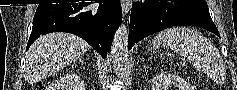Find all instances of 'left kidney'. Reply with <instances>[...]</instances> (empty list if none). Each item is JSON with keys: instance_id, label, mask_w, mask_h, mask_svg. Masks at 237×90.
I'll return each mask as SVG.
<instances>
[{"instance_id": "5707ae66", "label": "left kidney", "mask_w": 237, "mask_h": 90, "mask_svg": "<svg viewBox=\"0 0 237 90\" xmlns=\"http://www.w3.org/2000/svg\"><path fill=\"white\" fill-rule=\"evenodd\" d=\"M152 90H193V86L179 76L168 74V72H159L152 80Z\"/></svg>"}]
</instances>
